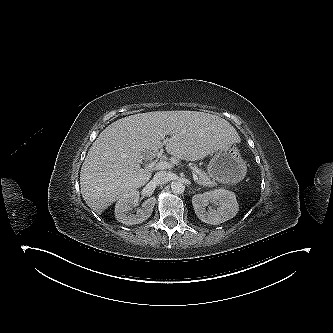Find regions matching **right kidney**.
<instances>
[{"label":"right kidney","instance_id":"right-kidney-1","mask_svg":"<svg viewBox=\"0 0 333 333\" xmlns=\"http://www.w3.org/2000/svg\"><path fill=\"white\" fill-rule=\"evenodd\" d=\"M139 192L134 190L124 194L115 205V217L118 222L125 225L139 224L148 219L153 211L156 199L151 197L143 202L142 207L132 214L130 210L139 201Z\"/></svg>","mask_w":333,"mask_h":333}]
</instances>
